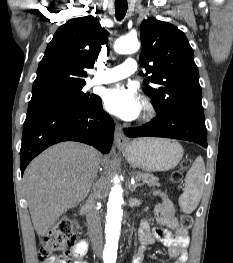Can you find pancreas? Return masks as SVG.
Here are the masks:
<instances>
[{"label":"pancreas","instance_id":"1","mask_svg":"<svg viewBox=\"0 0 233 263\" xmlns=\"http://www.w3.org/2000/svg\"><path fill=\"white\" fill-rule=\"evenodd\" d=\"M136 179L137 180L138 179L143 180V183L147 184L150 187H155V186L159 187L160 186V184L158 182V178L153 176L152 174H149V173H145V174L138 173L136 175Z\"/></svg>","mask_w":233,"mask_h":263}]
</instances>
